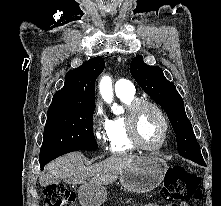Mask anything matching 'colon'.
I'll return each instance as SVG.
<instances>
[{
  "label": "colon",
  "mask_w": 221,
  "mask_h": 206,
  "mask_svg": "<svg viewBox=\"0 0 221 206\" xmlns=\"http://www.w3.org/2000/svg\"><path fill=\"white\" fill-rule=\"evenodd\" d=\"M201 197L199 177L182 166L169 168L166 184L161 191V206H168L170 201H184ZM75 192L61 183L48 186L45 190L44 206H75Z\"/></svg>",
  "instance_id": "5ec220e1"
}]
</instances>
